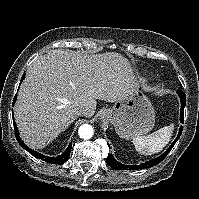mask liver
<instances>
[{
	"instance_id": "liver-1",
	"label": "liver",
	"mask_w": 199,
	"mask_h": 199,
	"mask_svg": "<svg viewBox=\"0 0 199 199\" xmlns=\"http://www.w3.org/2000/svg\"><path fill=\"white\" fill-rule=\"evenodd\" d=\"M137 90L133 70L118 53L81 54L53 50L29 67L14 108L22 140L43 148L77 119L90 118L96 99L115 102Z\"/></svg>"
}]
</instances>
